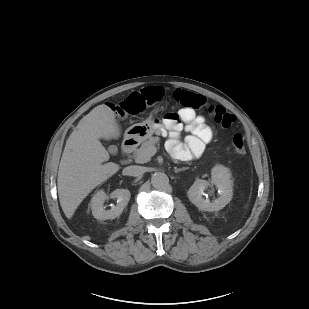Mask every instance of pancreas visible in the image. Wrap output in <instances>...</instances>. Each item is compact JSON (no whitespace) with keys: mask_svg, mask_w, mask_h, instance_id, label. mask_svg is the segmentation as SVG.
<instances>
[{"mask_svg":"<svg viewBox=\"0 0 309 309\" xmlns=\"http://www.w3.org/2000/svg\"><path fill=\"white\" fill-rule=\"evenodd\" d=\"M158 142V137H151L149 140L143 142L141 147L134 152L135 161L141 164L148 162L151 158L148 155V151L150 148L155 147Z\"/></svg>","mask_w":309,"mask_h":309,"instance_id":"cf45deb5","label":"pancreas"}]
</instances>
